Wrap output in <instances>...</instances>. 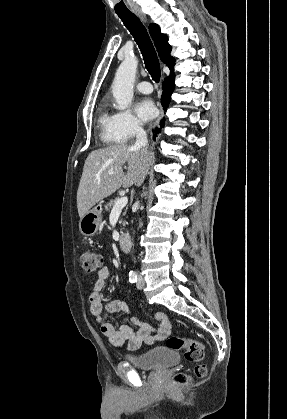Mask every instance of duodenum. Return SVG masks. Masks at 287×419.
<instances>
[{
  "label": "duodenum",
  "mask_w": 287,
  "mask_h": 419,
  "mask_svg": "<svg viewBox=\"0 0 287 419\" xmlns=\"http://www.w3.org/2000/svg\"><path fill=\"white\" fill-rule=\"evenodd\" d=\"M120 249L129 252L132 248V241L128 234H121L118 239Z\"/></svg>",
  "instance_id": "obj_1"
}]
</instances>
